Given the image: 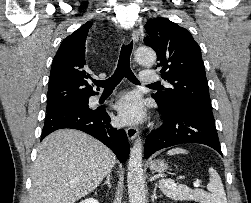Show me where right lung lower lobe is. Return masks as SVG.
<instances>
[{"label":"right lung lower lobe","mask_w":251,"mask_h":203,"mask_svg":"<svg viewBox=\"0 0 251 203\" xmlns=\"http://www.w3.org/2000/svg\"><path fill=\"white\" fill-rule=\"evenodd\" d=\"M105 109L88 106H67L51 112L45 117L41 140L58 129H77L90 134L109 147L120 160L129 156V143L123 129L113 128Z\"/></svg>","instance_id":"right-lung-lower-lobe-1"}]
</instances>
